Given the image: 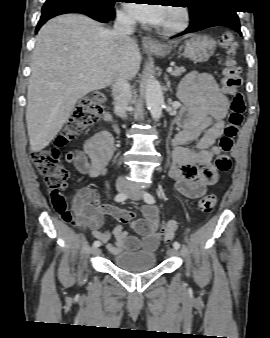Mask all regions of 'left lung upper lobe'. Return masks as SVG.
Listing matches in <instances>:
<instances>
[{
	"label": "left lung upper lobe",
	"mask_w": 270,
	"mask_h": 338,
	"mask_svg": "<svg viewBox=\"0 0 270 338\" xmlns=\"http://www.w3.org/2000/svg\"><path fill=\"white\" fill-rule=\"evenodd\" d=\"M229 0H189L190 26L196 25L204 18L224 11Z\"/></svg>",
	"instance_id": "1"
}]
</instances>
